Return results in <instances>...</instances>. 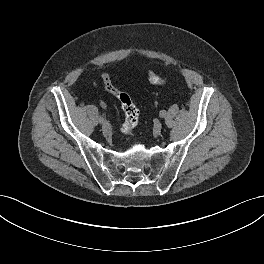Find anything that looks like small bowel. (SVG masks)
<instances>
[{"label": "small bowel", "mask_w": 264, "mask_h": 264, "mask_svg": "<svg viewBox=\"0 0 264 264\" xmlns=\"http://www.w3.org/2000/svg\"><path fill=\"white\" fill-rule=\"evenodd\" d=\"M101 106H105V103L103 101L100 102Z\"/></svg>", "instance_id": "1"}]
</instances>
